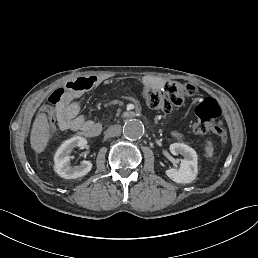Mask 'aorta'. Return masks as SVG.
<instances>
[{"mask_svg":"<svg viewBox=\"0 0 258 258\" xmlns=\"http://www.w3.org/2000/svg\"><path fill=\"white\" fill-rule=\"evenodd\" d=\"M123 134L129 140H138L144 135V125L138 119L128 120L123 126Z\"/></svg>","mask_w":258,"mask_h":258,"instance_id":"762f6f07","label":"aorta"}]
</instances>
